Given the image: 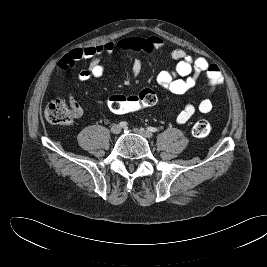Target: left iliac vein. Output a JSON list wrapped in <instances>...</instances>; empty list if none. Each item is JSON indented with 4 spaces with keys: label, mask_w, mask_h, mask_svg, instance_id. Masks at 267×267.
<instances>
[{
    "label": "left iliac vein",
    "mask_w": 267,
    "mask_h": 267,
    "mask_svg": "<svg viewBox=\"0 0 267 267\" xmlns=\"http://www.w3.org/2000/svg\"><path fill=\"white\" fill-rule=\"evenodd\" d=\"M133 132L136 133V134H139L145 138H152L153 137V133L148 131V130H145L143 128H134L133 129Z\"/></svg>",
    "instance_id": "4c4485c4"
}]
</instances>
